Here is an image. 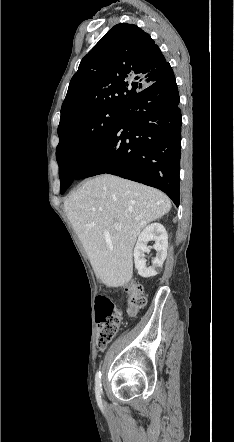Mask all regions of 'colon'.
Returning <instances> with one entry per match:
<instances>
[{
	"label": "colon",
	"instance_id": "colon-1",
	"mask_svg": "<svg viewBox=\"0 0 234 442\" xmlns=\"http://www.w3.org/2000/svg\"><path fill=\"white\" fill-rule=\"evenodd\" d=\"M129 295L127 313L136 316L145 306L147 300L143 295L142 288L136 283L127 287ZM121 321V312L114 303L106 296H98L96 299V322H97V347L105 349L116 335Z\"/></svg>",
	"mask_w": 234,
	"mask_h": 442
}]
</instances>
